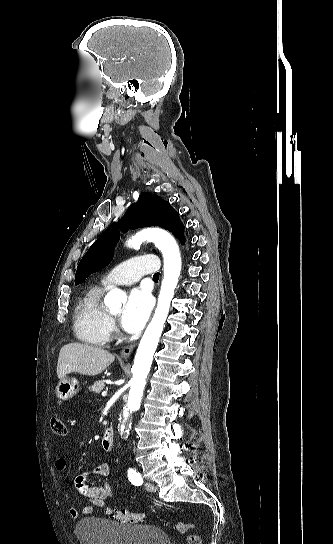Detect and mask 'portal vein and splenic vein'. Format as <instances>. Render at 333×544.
Here are the masks:
<instances>
[{
  "mask_svg": "<svg viewBox=\"0 0 333 544\" xmlns=\"http://www.w3.org/2000/svg\"><path fill=\"white\" fill-rule=\"evenodd\" d=\"M107 395V392H103L102 396L105 397Z\"/></svg>",
  "mask_w": 333,
  "mask_h": 544,
  "instance_id": "obj_1",
  "label": "portal vein and splenic vein"
}]
</instances>
